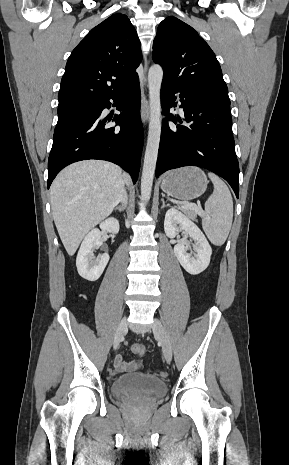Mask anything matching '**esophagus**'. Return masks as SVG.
<instances>
[{
    "label": "esophagus",
    "mask_w": 289,
    "mask_h": 465,
    "mask_svg": "<svg viewBox=\"0 0 289 465\" xmlns=\"http://www.w3.org/2000/svg\"><path fill=\"white\" fill-rule=\"evenodd\" d=\"M147 68H148V61L147 59H145L144 78H143V85L145 88L147 85V78H146ZM141 119L144 124H146L149 119V102L145 94H143L142 100H141Z\"/></svg>",
    "instance_id": "esophagus-1"
}]
</instances>
